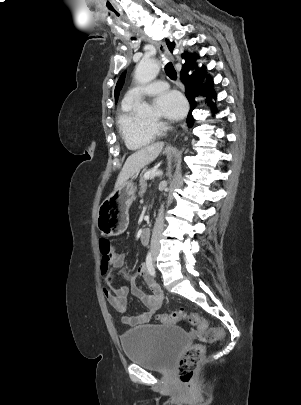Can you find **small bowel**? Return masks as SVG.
<instances>
[{
	"instance_id": "c3829d8e",
	"label": "small bowel",
	"mask_w": 301,
	"mask_h": 405,
	"mask_svg": "<svg viewBox=\"0 0 301 405\" xmlns=\"http://www.w3.org/2000/svg\"><path fill=\"white\" fill-rule=\"evenodd\" d=\"M125 262V254L118 253L113 247L109 255L102 254L100 272L102 288L109 304L118 312L122 313V321L125 324L134 326L149 323L161 307L164 294L149 273L145 263L141 264L133 275L122 268ZM142 277L149 287L151 293H145L137 284V277ZM129 278L131 280V291L146 306L147 310L137 316L127 314L128 288L125 285H114L116 279Z\"/></svg>"
}]
</instances>
